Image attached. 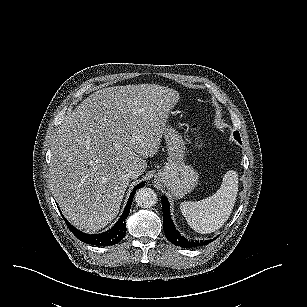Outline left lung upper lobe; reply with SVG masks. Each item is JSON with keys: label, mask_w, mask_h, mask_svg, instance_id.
Instances as JSON below:
<instances>
[{"label": "left lung upper lobe", "mask_w": 307, "mask_h": 307, "mask_svg": "<svg viewBox=\"0 0 307 307\" xmlns=\"http://www.w3.org/2000/svg\"><path fill=\"white\" fill-rule=\"evenodd\" d=\"M234 137H235V139H236L238 142L241 143V138H240V134H239L238 131L234 132Z\"/></svg>", "instance_id": "5c2ea615"}]
</instances>
